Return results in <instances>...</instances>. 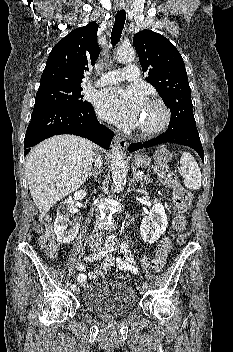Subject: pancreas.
<instances>
[{
	"label": "pancreas",
	"mask_w": 233,
	"mask_h": 352,
	"mask_svg": "<svg viewBox=\"0 0 233 352\" xmlns=\"http://www.w3.org/2000/svg\"><path fill=\"white\" fill-rule=\"evenodd\" d=\"M140 180L145 183H150L152 181V179L150 178L149 175H144V176L140 177Z\"/></svg>",
	"instance_id": "1"
}]
</instances>
